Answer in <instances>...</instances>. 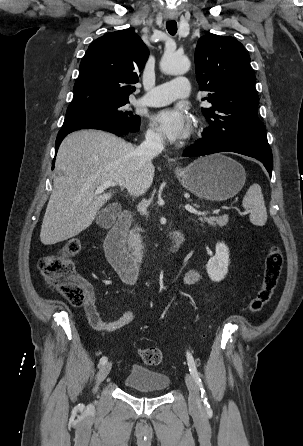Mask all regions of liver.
<instances>
[{"instance_id":"liver-1","label":"liver","mask_w":303,"mask_h":446,"mask_svg":"<svg viewBox=\"0 0 303 446\" xmlns=\"http://www.w3.org/2000/svg\"><path fill=\"white\" fill-rule=\"evenodd\" d=\"M2 0H0L1 2ZM56 167L63 174L55 177L40 240L52 245L68 240L87 229L112 193L96 194L104 181H113L131 196L144 194L153 182L152 162L143 166L135 147L103 131L71 133L61 143Z\"/></svg>"}]
</instances>
